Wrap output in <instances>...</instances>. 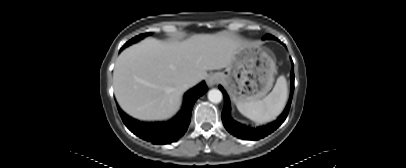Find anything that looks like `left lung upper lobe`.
Returning a JSON list of instances; mask_svg holds the SVG:
<instances>
[{"label": "left lung upper lobe", "mask_w": 406, "mask_h": 168, "mask_svg": "<svg viewBox=\"0 0 406 168\" xmlns=\"http://www.w3.org/2000/svg\"><path fill=\"white\" fill-rule=\"evenodd\" d=\"M264 39H277V38H275V37L272 36V35H266V36L264 37Z\"/></svg>", "instance_id": "1"}]
</instances>
